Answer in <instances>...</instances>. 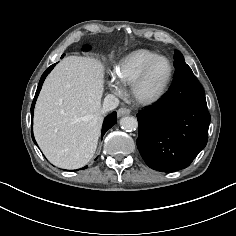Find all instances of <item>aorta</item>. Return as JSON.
Segmentation results:
<instances>
[{
	"mask_svg": "<svg viewBox=\"0 0 236 236\" xmlns=\"http://www.w3.org/2000/svg\"><path fill=\"white\" fill-rule=\"evenodd\" d=\"M120 126L126 131L136 130L138 127L137 119L133 116H125L120 120Z\"/></svg>",
	"mask_w": 236,
	"mask_h": 236,
	"instance_id": "obj_1",
	"label": "aorta"
}]
</instances>
